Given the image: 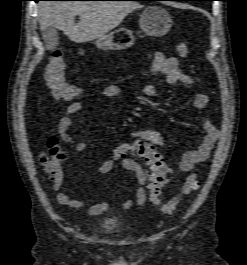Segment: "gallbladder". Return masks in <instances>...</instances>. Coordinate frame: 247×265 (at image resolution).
Segmentation results:
<instances>
[{"label":"gallbladder","mask_w":247,"mask_h":265,"mask_svg":"<svg viewBox=\"0 0 247 265\" xmlns=\"http://www.w3.org/2000/svg\"><path fill=\"white\" fill-rule=\"evenodd\" d=\"M42 38L47 49H54L58 44V32L56 28L49 26L42 31Z\"/></svg>","instance_id":"gallbladder-1"}]
</instances>
